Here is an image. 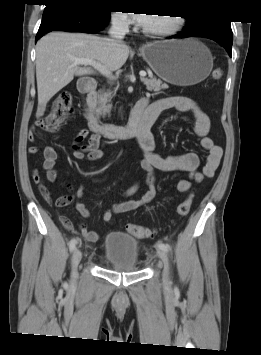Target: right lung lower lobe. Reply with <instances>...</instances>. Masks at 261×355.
Instances as JSON below:
<instances>
[{
	"label": "right lung lower lobe",
	"mask_w": 261,
	"mask_h": 355,
	"mask_svg": "<svg viewBox=\"0 0 261 355\" xmlns=\"http://www.w3.org/2000/svg\"><path fill=\"white\" fill-rule=\"evenodd\" d=\"M35 41L51 31L94 33L109 22L110 13L76 1L47 3Z\"/></svg>",
	"instance_id": "right-lung-lower-lobe-1"
}]
</instances>
